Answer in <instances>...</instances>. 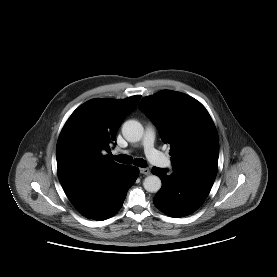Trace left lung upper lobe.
<instances>
[{
  "label": "left lung upper lobe",
  "instance_id": "1",
  "mask_svg": "<svg viewBox=\"0 0 277 277\" xmlns=\"http://www.w3.org/2000/svg\"><path fill=\"white\" fill-rule=\"evenodd\" d=\"M139 108L158 127L171 145L173 171L216 177L219 139L215 125L196 99L164 90L142 99Z\"/></svg>",
  "mask_w": 277,
  "mask_h": 277
}]
</instances>
